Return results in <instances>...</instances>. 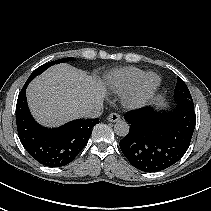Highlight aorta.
Returning <instances> with one entry per match:
<instances>
[{
  "mask_svg": "<svg viewBox=\"0 0 211 211\" xmlns=\"http://www.w3.org/2000/svg\"><path fill=\"white\" fill-rule=\"evenodd\" d=\"M114 132L116 135L118 136H126L129 132V124L126 121H118L115 125H114Z\"/></svg>",
  "mask_w": 211,
  "mask_h": 211,
  "instance_id": "762f6f07",
  "label": "aorta"
}]
</instances>
